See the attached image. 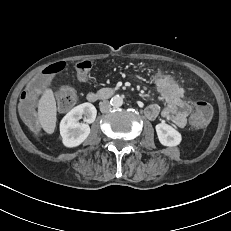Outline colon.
Returning a JSON list of instances; mask_svg holds the SVG:
<instances>
[{"instance_id":"obj_1","label":"colon","mask_w":231,"mask_h":231,"mask_svg":"<svg viewBox=\"0 0 231 231\" xmlns=\"http://www.w3.org/2000/svg\"><path fill=\"white\" fill-rule=\"evenodd\" d=\"M65 67L63 62L52 64L39 73L34 80H30L25 85V90L20 98V112L23 118L31 127L37 125L35 118V105L38 96L42 91H46L51 86L49 76L62 71ZM92 62L84 60L76 64V75L80 81H85L91 71ZM152 80H157L162 83H169L172 86L181 89L183 92L188 90L186 85H183L180 79L169 73L157 72L151 74ZM77 99L75 90L70 86H63L56 95L58 109L62 112L69 111L75 104ZM195 113L192 118V124L196 127L206 126L212 118L213 109L211 105L203 100H198L194 103Z\"/></svg>"}]
</instances>
